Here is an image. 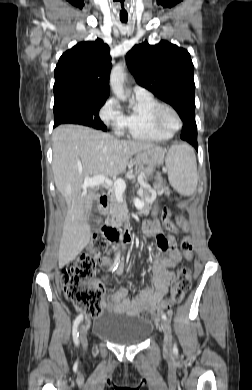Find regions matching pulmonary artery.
Here are the masks:
<instances>
[{"label": "pulmonary artery", "mask_w": 252, "mask_h": 390, "mask_svg": "<svg viewBox=\"0 0 252 390\" xmlns=\"http://www.w3.org/2000/svg\"><path fill=\"white\" fill-rule=\"evenodd\" d=\"M133 94H134V96H137V97H146V96L150 95V92L144 87L135 85L133 87Z\"/></svg>", "instance_id": "1"}]
</instances>
